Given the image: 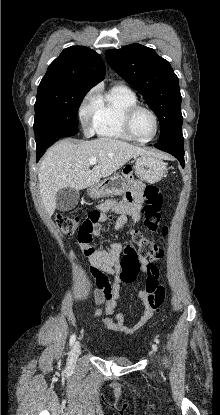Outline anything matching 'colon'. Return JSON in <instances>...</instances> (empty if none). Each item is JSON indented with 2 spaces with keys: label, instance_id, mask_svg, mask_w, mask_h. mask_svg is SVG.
Here are the masks:
<instances>
[{
  "label": "colon",
  "instance_id": "5ec220e1",
  "mask_svg": "<svg viewBox=\"0 0 220 415\" xmlns=\"http://www.w3.org/2000/svg\"><path fill=\"white\" fill-rule=\"evenodd\" d=\"M145 204L143 207L144 225L150 232H157L160 223V209L163 201L162 193L156 186H147L144 191ZM96 218L95 214L89 213L86 218L80 219L76 216L59 214L55 218L56 225L63 234L71 235L76 231L84 232L90 239L89 224ZM164 235L168 227L162 228ZM132 244H128L120 260V279L126 284L133 283L140 272L141 260L148 262L145 291L148 302L155 308H162L166 300L165 289L159 281V270L156 262L164 256V248L146 238L140 231H132Z\"/></svg>",
  "mask_w": 220,
  "mask_h": 415
}]
</instances>
